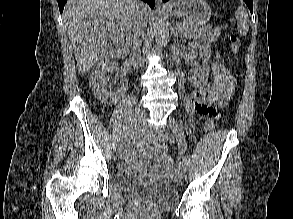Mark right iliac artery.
<instances>
[{"label": "right iliac artery", "mask_w": 293, "mask_h": 219, "mask_svg": "<svg viewBox=\"0 0 293 219\" xmlns=\"http://www.w3.org/2000/svg\"><path fill=\"white\" fill-rule=\"evenodd\" d=\"M128 135H129V133H128V132H125V133L121 136V140H122L123 138L127 137Z\"/></svg>", "instance_id": "obj_1"}]
</instances>
